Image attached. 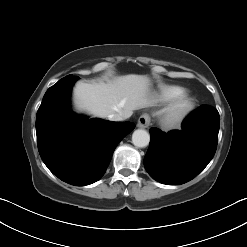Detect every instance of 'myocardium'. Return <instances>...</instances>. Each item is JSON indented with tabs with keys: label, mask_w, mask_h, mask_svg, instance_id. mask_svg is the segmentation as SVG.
<instances>
[{
	"label": "myocardium",
	"mask_w": 247,
	"mask_h": 247,
	"mask_svg": "<svg viewBox=\"0 0 247 247\" xmlns=\"http://www.w3.org/2000/svg\"><path fill=\"white\" fill-rule=\"evenodd\" d=\"M195 106V97L185 93L180 95L164 111L163 123L170 127L179 125L193 112Z\"/></svg>",
	"instance_id": "f54148a6"
}]
</instances>
